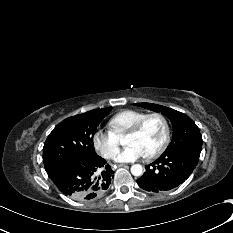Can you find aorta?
I'll return each instance as SVG.
<instances>
[{"label": "aorta", "mask_w": 233, "mask_h": 233, "mask_svg": "<svg viewBox=\"0 0 233 233\" xmlns=\"http://www.w3.org/2000/svg\"><path fill=\"white\" fill-rule=\"evenodd\" d=\"M142 166L140 164H134L131 166V173L134 176H140L142 174Z\"/></svg>", "instance_id": "obj_1"}]
</instances>
